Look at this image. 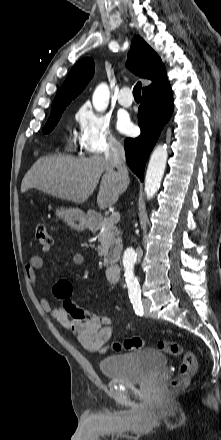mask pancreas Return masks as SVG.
Segmentation results:
<instances>
[{"instance_id": "pancreas-1", "label": "pancreas", "mask_w": 221, "mask_h": 440, "mask_svg": "<svg viewBox=\"0 0 221 440\" xmlns=\"http://www.w3.org/2000/svg\"><path fill=\"white\" fill-rule=\"evenodd\" d=\"M94 231H102L99 236L100 246L98 247L99 256L104 255L105 251L112 245H116L117 247V258L120 255L121 247H120V232L116 225L110 221V218H104L102 221L98 223V225L94 228Z\"/></svg>"}]
</instances>
